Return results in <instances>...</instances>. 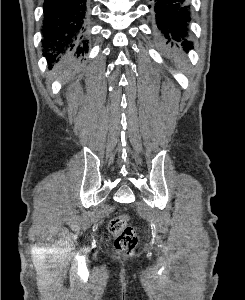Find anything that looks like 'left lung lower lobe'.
Wrapping results in <instances>:
<instances>
[{
  "label": "left lung lower lobe",
  "instance_id": "0a47b994",
  "mask_svg": "<svg viewBox=\"0 0 245 300\" xmlns=\"http://www.w3.org/2000/svg\"><path fill=\"white\" fill-rule=\"evenodd\" d=\"M155 1L156 24L162 40L172 45L179 43L188 52L193 48V44L185 39L190 20L188 0Z\"/></svg>",
  "mask_w": 245,
  "mask_h": 300
}]
</instances>
